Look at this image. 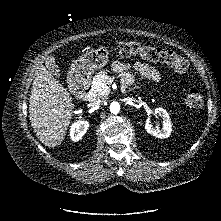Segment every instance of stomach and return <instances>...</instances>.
Wrapping results in <instances>:
<instances>
[{
    "instance_id": "stomach-1",
    "label": "stomach",
    "mask_w": 221,
    "mask_h": 221,
    "mask_svg": "<svg viewBox=\"0 0 221 221\" xmlns=\"http://www.w3.org/2000/svg\"><path fill=\"white\" fill-rule=\"evenodd\" d=\"M109 53L106 47H99L86 52L84 55L74 60L71 64V73L76 76H86L94 70L102 69L108 63Z\"/></svg>"
}]
</instances>
